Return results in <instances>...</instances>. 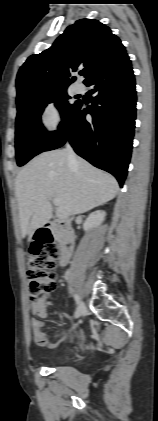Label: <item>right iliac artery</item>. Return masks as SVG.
<instances>
[{"label":"right iliac artery","instance_id":"right-iliac-artery-1","mask_svg":"<svg viewBox=\"0 0 158 421\" xmlns=\"http://www.w3.org/2000/svg\"><path fill=\"white\" fill-rule=\"evenodd\" d=\"M74 299H75V301H76V304H79V302H80V297H79L78 295H75V296H74Z\"/></svg>","mask_w":158,"mask_h":421}]
</instances>
